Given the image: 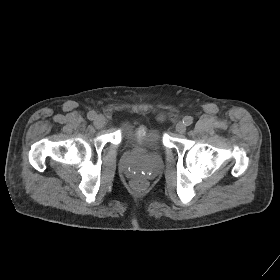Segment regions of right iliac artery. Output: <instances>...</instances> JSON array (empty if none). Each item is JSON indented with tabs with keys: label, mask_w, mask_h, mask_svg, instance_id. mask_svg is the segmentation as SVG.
I'll use <instances>...</instances> for the list:
<instances>
[{
	"label": "right iliac artery",
	"mask_w": 280,
	"mask_h": 280,
	"mask_svg": "<svg viewBox=\"0 0 280 280\" xmlns=\"http://www.w3.org/2000/svg\"><path fill=\"white\" fill-rule=\"evenodd\" d=\"M87 117L89 120H95L96 117H97V114L95 111H90L88 114H87Z\"/></svg>",
	"instance_id": "obj_1"
}]
</instances>
